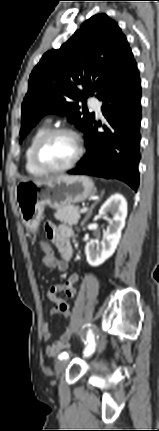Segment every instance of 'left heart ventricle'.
I'll return each mask as SVG.
<instances>
[{
    "mask_svg": "<svg viewBox=\"0 0 159 431\" xmlns=\"http://www.w3.org/2000/svg\"><path fill=\"white\" fill-rule=\"evenodd\" d=\"M76 151L74 139L68 134H59L45 143L41 158L51 167H62L74 158Z\"/></svg>",
    "mask_w": 159,
    "mask_h": 431,
    "instance_id": "1",
    "label": "left heart ventricle"
}]
</instances>
